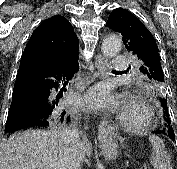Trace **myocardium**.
I'll return each instance as SVG.
<instances>
[{"label":"myocardium","mask_w":177,"mask_h":169,"mask_svg":"<svg viewBox=\"0 0 177 169\" xmlns=\"http://www.w3.org/2000/svg\"><path fill=\"white\" fill-rule=\"evenodd\" d=\"M117 119L125 130L140 132L151 125L153 111L141 98L132 96L119 112Z\"/></svg>","instance_id":"obj_1"}]
</instances>
